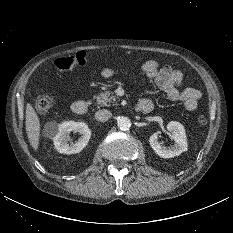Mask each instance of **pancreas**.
<instances>
[{
    "mask_svg": "<svg viewBox=\"0 0 233 233\" xmlns=\"http://www.w3.org/2000/svg\"><path fill=\"white\" fill-rule=\"evenodd\" d=\"M96 99L99 107L110 106L111 103H115L116 101V97L110 91L100 93Z\"/></svg>",
    "mask_w": 233,
    "mask_h": 233,
    "instance_id": "obj_1",
    "label": "pancreas"
}]
</instances>
